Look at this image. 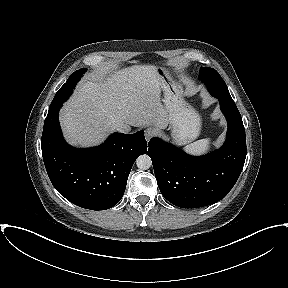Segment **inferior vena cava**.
I'll use <instances>...</instances> for the list:
<instances>
[{
    "mask_svg": "<svg viewBox=\"0 0 288 288\" xmlns=\"http://www.w3.org/2000/svg\"><path fill=\"white\" fill-rule=\"evenodd\" d=\"M116 130H117L118 132H122V133H125V132H126V129H125L124 127H122V126H117V127H116Z\"/></svg>",
    "mask_w": 288,
    "mask_h": 288,
    "instance_id": "1",
    "label": "inferior vena cava"
}]
</instances>
